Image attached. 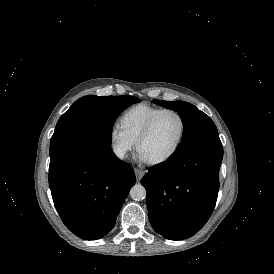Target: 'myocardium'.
I'll return each instance as SVG.
<instances>
[{"label": "myocardium", "instance_id": "obj_1", "mask_svg": "<svg viewBox=\"0 0 274 274\" xmlns=\"http://www.w3.org/2000/svg\"><path fill=\"white\" fill-rule=\"evenodd\" d=\"M166 113H174L179 117L180 131H179V134L177 136V139H176L175 144H174L173 148L171 149V151L165 157H163L161 159L147 162V164L150 166H161V165L168 163L176 155V153L181 145V142L183 140L184 134H185L186 122H185V118L182 115V113L174 108H165V109H162L160 112H158L147 123V125L143 128V130L138 134V136L135 140L136 150L139 152V147H140L141 142L151 133V131L153 130V128L155 127V125L157 124L159 119Z\"/></svg>", "mask_w": 274, "mask_h": 274}]
</instances>
